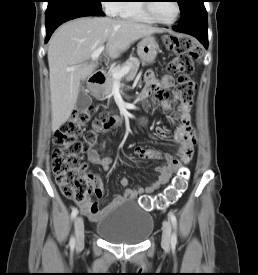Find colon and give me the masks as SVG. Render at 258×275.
Wrapping results in <instances>:
<instances>
[{"mask_svg": "<svg viewBox=\"0 0 258 275\" xmlns=\"http://www.w3.org/2000/svg\"><path fill=\"white\" fill-rule=\"evenodd\" d=\"M164 44L167 50L176 54L168 63L167 70L178 75V81L171 92H160L155 95V100H165L169 104L190 102L196 89V83L190 76L201 57V51L188 36L166 35ZM91 115V108L75 112L57 130L54 138L53 173L63 195L77 202L87 200L94 191V176L87 171V165L81 161V154L96 143L100 132L111 130L117 124L112 116L101 114L92 122L91 128L85 131L82 141L80 137ZM189 177L190 170L186 166L181 167L162 192L155 196H140L139 206L146 211L166 209L186 190Z\"/></svg>", "mask_w": 258, "mask_h": 275, "instance_id": "5ec220e1", "label": "colon"}]
</instances>
